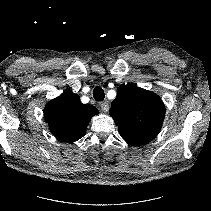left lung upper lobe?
<instances>
[{
	"instance_id": "left-lung-upper-lobe-1",
	"label": "left lung upper lobe",
	"mask_w": 211,
	"mask_h": 211,
	"mask_svg": "<svg viewBox=\"0 0 211 211\" xmlns=\"http://www.w3.org/2000/svg\"><path fill=\"white\" fill-rule=\"evenodd\" d=\"M110 115L121 137L130 145L140 146L159 133L165 106L157 94L128 84L117 89Z\"/></svg>"
}]
</instances>
